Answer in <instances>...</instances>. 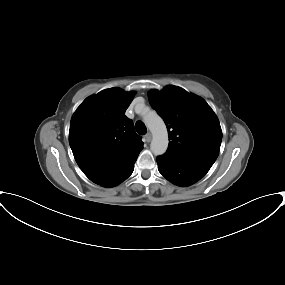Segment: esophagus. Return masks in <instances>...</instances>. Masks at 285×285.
I'll return each instance as SVG.
<instances>
[{
    "label": "esophagus",
    "instance_id": "1",
    "mask_svg": "<svg viewBox=\"0 0 285 285\" xmlns=\"http://www.w3.org/2000/svg\"><path fill=\"white\" fill-rule=\"evenodd\" d=\"M151 139H152V134H151L150 132H148V133L145 135V140H146L147 142H150Z\"/></svg>",
    "mask_w": 285,
    "mask_h": 285
}]
</instances>
